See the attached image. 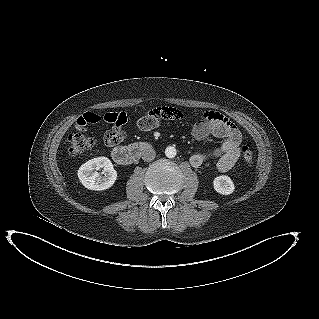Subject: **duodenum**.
<instances>
[{
  "label": "duodenum",
  "instance_id": "410a0bca",
  "mask_svg": "<svg viewBox=\"0 0 319 319\" xmlns=\"http://www.w3.org/2000/svg\"><path fill=\"white\" fill-rule=\"evenodd\" d=\"M151 148L147 142H135L128 146H116L112 150L113 160L120 165H130Z\"/></svg>",
  "mask_w": 319,
  "mask_h": 319
}]
</instances>
